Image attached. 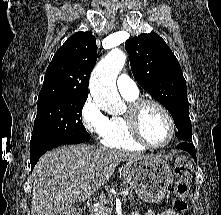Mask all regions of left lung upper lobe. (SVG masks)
Wrapping results in <instances>:
<instances>
[{"instance_id": "left-lung-upper-lobe-1", "label": "left lung upper lobe", "mask_w": 221, "mask_h": 215, "mask_svg": "<svg viewBox=\"0 0 221 215\" xmlns=\"http://www.w3.org/2000/svg\"><path fill=\"white\" fill-rule=\"evenodd\" d=\"M125 48L136 81L171 113L176 136L191 141L186 81L171 49L153 32L128 39Z\"/></svg>"}]
</instances>
